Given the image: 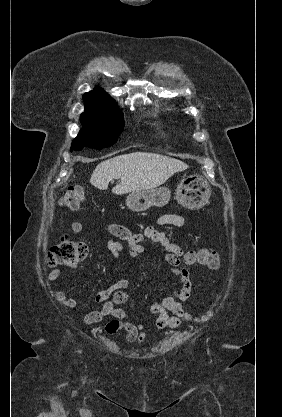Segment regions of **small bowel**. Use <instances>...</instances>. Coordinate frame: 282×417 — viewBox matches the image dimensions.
I'll return each instance as SVG.
<instances>
[{
	"label": "small bowel",
	"mask_w": 282,
	"mask_h": 417,
	"mask_svg": "<svg viewBox=\"0 0 282 417\" xmlns=\"http://www.w3.org/2000/svg\"><path fill=\"white\" fill-rule=\"evenodd\" d=\"M186 219L179 213H165L159 216L154 225L147 226L140 232H132L127 227L118 223H107L106 231L113 237L108 241V249L115 259H121L125 246L132 257H137L145 250L144 242L151 241L163 249L164 260L170 271L181 282V287L173 290L165 296L154 301L150 307V313L154 317V324L157 329H174L185 322H206L212 316V309L208 310L199 318H193L182 306L181 302L187 300L192 292L193 284L190 271L183 265L184 253L182 249L173 243L162 231L163 227L171 226L182 228ZM83 230V223L75 221L71 224L73 233H80ZM61 277V271L54 269L47 275L51 282ZM128 278H122L111 286L100 290L94 297L96 303H102L99 310L90 312L84 319L88 324L98 323L106 317H112L105 327L104 332L114 335L118 332H125L126 341L129 343H143L149 328L142 323H134L128 320L127 313L118 308V304L127 301L124 289L128 285ZM56 300L62 305L74 308L77 299L67 297L62 291L55 292Z\"/></svg>",
	"instance_id": "c3829d8e"
}]
</instances>
